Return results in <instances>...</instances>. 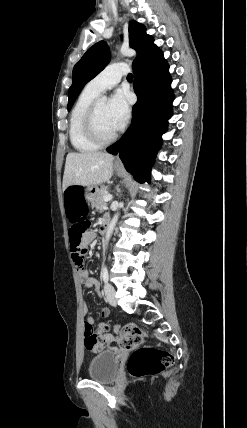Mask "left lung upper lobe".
Here are the masks:
<instances>
[{
    "mask_svg": "<svg viewBox=\"0 0 247 428\" xmlns=\"http://www.w3.org/2000/svg\"><path fill=\"white\" fill-rule=\"evenodd\" d=\"M153 41V37L146 33V29L143 25L136 21L130 22L129 45L137 51L136 59L133 62V68H136L151 56L161 51ZM110 57V49L107 43L105 41H100L90 47L81 60L75 65L72 85L68 92V111H70L77 96L86 83L99 74L110 62Z\"/></svg>",
    "mask_w": 247,
    "mask_h": 428,
    "instance_id": "5c2ea615",
    "label": "left lung upper lobe"
}]
</instances>
